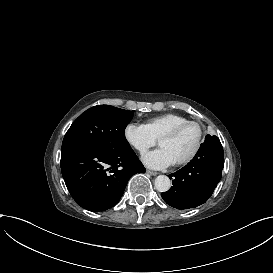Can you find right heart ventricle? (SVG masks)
<instances>
[{"label": "right heart ventricle", "instance_id": "e07e8e85", "mask_svg": "<svg viewBox=\"0 0 273 273\" xmlns=\"http://www.w3.org/2000/svg\"><path fill=\"white\" fill-rule=\"evenodd\" d=\"M188 121H190V119L184 115L167 113L150 118L144 123V125L157 140L163 133Z\"/></svg>", "mask_w": 273, "mask_h": 273}]
</instances>
